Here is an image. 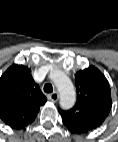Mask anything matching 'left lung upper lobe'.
Wrapping results in <instances>:
<instances>
[{"mask_svg": "<svg viewBox=\"0 0 118 142\" xmlns=\"http://www.w3.org/2000/svg\"><path fill=\"white\" fill-rule=\"evenodd\" d=\"M77 102L64 111L60 108L64 125L73 133H86L99 127L108 116L112 101L111 90L105 76L93 66L75 75Z\"/></svg>", "mask_w": 118, "mask_h": 142, "instance_id": "left-lung-upper-lobe-1", "label": "left lung upper lobe"}]
</instances>
